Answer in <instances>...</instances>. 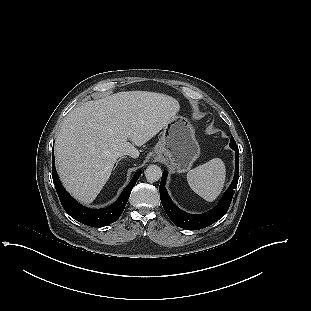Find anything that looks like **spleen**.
I'll return each instance as SVG.
<instances>
[{
  "instance_id": "3e777b00",
  "label": "spleen",
  "mask_w": 311,
  "mask_h": 311,
  "mask_svg": "<svg viewBox=\"0 0 311 311\" xmlns=\"http://www.w3.org/2000/svg\"><path fill=\"white\" fill-rule=\"evenodd\" d=\"M226 169L220 158H214L187 173L190 188L206 201H214L221 193Z\"/></svg>"
}]
</instances>
